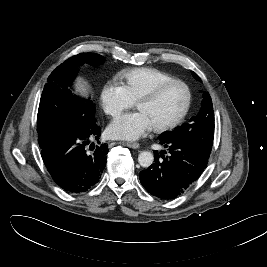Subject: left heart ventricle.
<instances>
[{"instance_id":"left-heart-ventricle-1","label":"left heart ventricle","mask_w":267,"mask_h":267,"mask_svg":"<svg viewBox=\"0 0 267 267\" xmlns=\"http://www.w3.org/2000/svg\"><path fill=\"white\" fill-rule=\"evenodd\" d=\"M185 103V89L180 85H173L154 100L141 103L136 108L145 115L151 127H156L174 120L184 108Z\"/></svg>"}]
</instances>
